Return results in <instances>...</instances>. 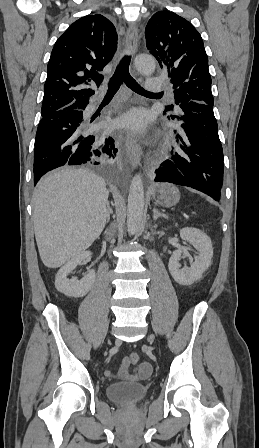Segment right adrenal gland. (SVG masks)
<instances>
[{
    "label": "right adrenal gland",
    "instance_id": "1",
    "mask_svg": "<svg viewBox=\"0 0 259 448\" xmlns=\"http://www.w3.org/2000/svg\"><path fill=\"white\" fill-rule=\"evenodd\" d=\"M110 214H113V210H111V208L109 206V202H107V220H106V224H108V222L110 220Z\"/></svg>",
    "mask_w": 259,
    "mask_h": 448
}]
</instances>
